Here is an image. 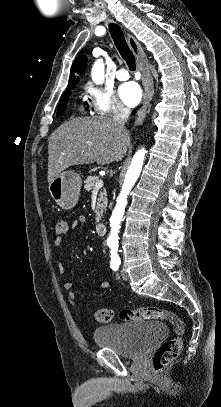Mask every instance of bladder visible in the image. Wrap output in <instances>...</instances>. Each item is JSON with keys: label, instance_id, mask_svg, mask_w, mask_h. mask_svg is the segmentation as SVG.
Masks as SVG:
<instances>
[{"label": "bladder", "instance_id": "bladder-1", "mask_svg": "<svg viewBox=\"0 0 221 407\" xmlns=\"http://www.w3.org/2000/svg\"><path fill=\"white\" fill-rule=\"evenodd\" d=\"M166 332L167 326L162 322H126L98 326L93 332V338L99 347L113 349L122 357L135 358Z\"/></svg>", "mask_w": 221, "mask_h": 407}]
</instances>
